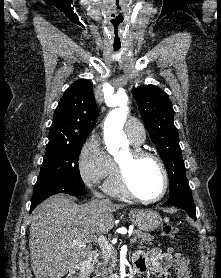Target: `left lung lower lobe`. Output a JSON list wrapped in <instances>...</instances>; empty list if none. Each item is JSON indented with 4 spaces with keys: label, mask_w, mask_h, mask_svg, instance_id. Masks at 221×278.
<instances>
[{
    "label": "left lung lower lobe",
    "mask_w": 221,
    "mask_h": 278,
    "mask_svg": "<svg viewBox=\"0 0 221 278\" xmlns=\"http://www.w3.org/2000/svg\"><path fill=\"white\" fill-rule=\"evenodd\" d=\"M176 205L183 208L191 218L196 219L195 204L192 197V192L184 191L179 193L174 198L167 201L162 206Z\"/></svg>",
    "instance_id": "obj_1"
}]
</instances>
